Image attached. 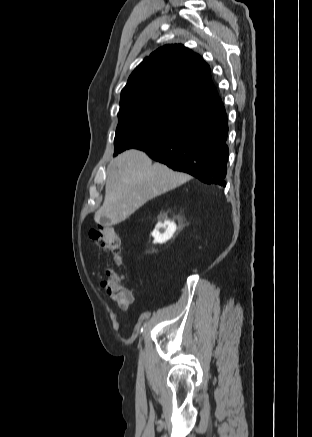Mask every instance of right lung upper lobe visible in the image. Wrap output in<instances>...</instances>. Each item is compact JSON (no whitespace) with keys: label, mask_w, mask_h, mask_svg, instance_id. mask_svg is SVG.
Here are the masks:
<instances>
[{"label":"right lung upper lobe","mask_w":312,"mask_h":437,"mask_svg":"<svg viewBox=\"0 0 312 437\" xmlns=\"http://www.w3.org/2000/svg\"><path fill=\"white\" fill-rule=\"evenodd\" d=\"M220 101L209 65L183 45H165L146 57L121 92L120 109L164 103L199 112Z\"/></svg>","instance_id":"cb5924a9"}]
</instances>
